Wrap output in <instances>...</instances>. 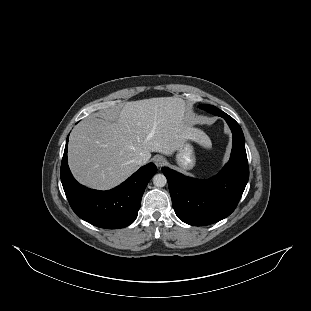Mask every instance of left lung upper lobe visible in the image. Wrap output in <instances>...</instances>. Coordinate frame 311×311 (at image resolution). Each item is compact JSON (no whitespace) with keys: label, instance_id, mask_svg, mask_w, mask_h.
<instances>
[{"label":"left lung upper lobe","instance_id":"5c2ea615","mask_svg":"<svg viewBox=\"0 0 311 311\" xmlns=\"http://www.w3.org/2000/svg\"><path fill=\"white\" fill-rule=\"evenodd\" d=\"M199 108L207 111V112H210L214 115H217V116H220L222 111L219 110L218 108H216L215 106L213 105H200Z\"/></svg>","mask_w":311,"mask_h":311}]
</instances>
